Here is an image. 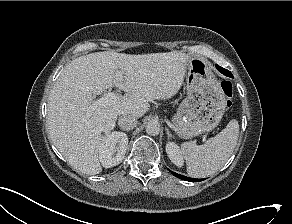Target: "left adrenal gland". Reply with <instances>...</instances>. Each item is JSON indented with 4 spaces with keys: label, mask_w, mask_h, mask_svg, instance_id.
<instances>
[{
    "label": "left adrenal gland",
    "mask_w": 292,
    "mask_h": 224,
    "mask_svg": "<svg viewBox=\"0 0 292 224\" xmlns=\"http://www.w3.org/2000/svg\"><path fill=\"white\" fill-rule=\"evenodd\" d=\"M165 130H166V134H167L168 138H171L172 134H171L170 130L168 128H166Z\"/></svg>",
    "instance_id": "obj_1"
}]
</instances>
